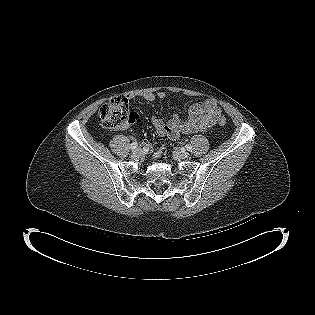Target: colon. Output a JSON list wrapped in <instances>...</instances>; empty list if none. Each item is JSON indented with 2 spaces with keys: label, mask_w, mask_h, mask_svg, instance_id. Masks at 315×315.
Masks as SVG:
<instances>
[{
  "label": "colon",
  "mask_w": 315,
  "mask_h": 315,
  "mask_svg": "<svg viewBox=\"0 0 315 315\" xmlns=\"http://www.w3.org/2000/svg\"><path fill=\"white\" fill-rule=\"evenodd\" d=\"M99 116L103 126L113 130L122 129L137 119V114L129 110L125 97H116L105 103L100 108ZM217 121L221 126L226 123L225 118L221 115Z\"/></svg>",
  "instance_id": "5ec220e1"
}]
</instances>
